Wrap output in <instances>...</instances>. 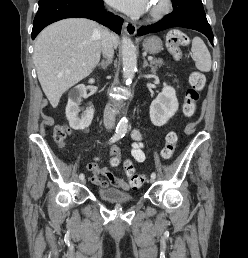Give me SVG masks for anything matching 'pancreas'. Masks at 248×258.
I'll return each instance as SVG.
<instances>
[{
    "label": "pancreas",
    "instance_id": "pancreas-1",
    "mask_svg": "<svg viewBox=\"0 0 248 258\" xmlns=\"http://www.w3.org/2000/svg\"><path fill=\"white\" fill-rule=\"evenodd\" d=\"M150 64L154 69H157V67H161L164 62L162 59H153L152 61H150Z\"/></svg>",
    "mask_w": 248,
    "mask_h": 258
}]
</instances>
